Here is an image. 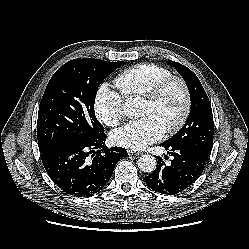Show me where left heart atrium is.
<instances>
[{
  "mask_svg": "<svg viewBox=\"0 0 249 249\" xmlns=\"http://www.w3.org/2000/svg\"><path fill=\"white\" fill-rule=\"evenodd\" d=\"M164 132L162 124L154 116L149 115L116 129L111 135V140L121 147L142 150L162 138Z\"/></svg>",
  "mask_w": 249,
  "mask_h": 249,
  "instance_id": "39dd6f15",
  "label": "left heart atrium"
}]
</instances>
